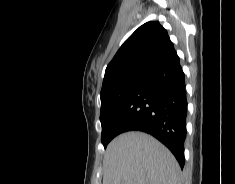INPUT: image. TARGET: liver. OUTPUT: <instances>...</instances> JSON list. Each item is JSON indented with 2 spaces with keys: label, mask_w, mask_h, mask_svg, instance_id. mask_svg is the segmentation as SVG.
I'll return each mask as SVG.
<instances>
[{
  "label": "liver",
  "mask_w": 235,
  "mask_h": 184,
  "mask_svg": "<svg viewBox=\"0 0 235 184\" xmlns=\"http://www.w3.org/2000/svg\"><path fill=\"white\" fill-rule=\"evenodd\" d=\"M103 184H180L171 152L143 132H126L107 146Z\"/></svg>",
  "instance_id": "liver-1"
}]
</instances>
